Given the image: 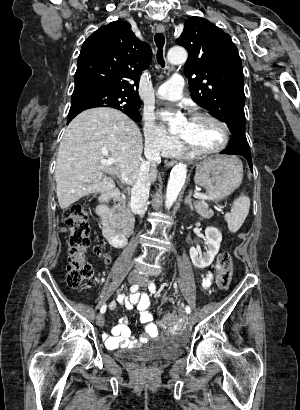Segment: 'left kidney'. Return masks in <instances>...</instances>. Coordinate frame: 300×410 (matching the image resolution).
<instances>
[{
    "label": "left kidney",
    "mask_w": 300,
    "mask_h": 410,
    "mask_svg": "<svg viewBox=\"0 0 300 410\" xmlns=\"http://www.w3.org/2000/svg\"><path fill=\"white\" fill-rule=\"evenodd\" d=\"M221 241V232L217 228L207 227L205 229L206 252L201 253L200 249L198 248H190V258L193 265L200 269L208 267L217 255L220 249Z\"/></svg>",
    "instance_id": "5707ae66"
}]
</instances>
